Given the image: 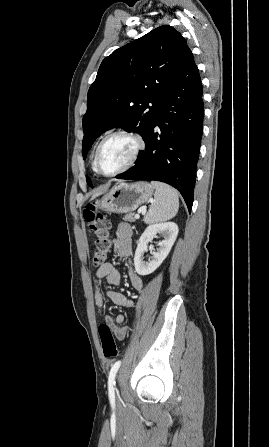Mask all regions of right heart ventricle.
Instances as JSON below:
<instances>
[{"mask_svg": "<svg viewBox=\"0 0 269 447\" xmlns=\"http://www.w3.org/2000/svg\"><path fill=\"white\" fill-rule=\"evenodd\" d=\"M95 154H96V152L93 155L92 168H93L94 172L97 173L98 171H97L96 166H95Z\"/></svg>", "mask_w": 269, "mask_h": 447, "instance_id": "1", "label": "right heart ventricle"}]
</instances>
